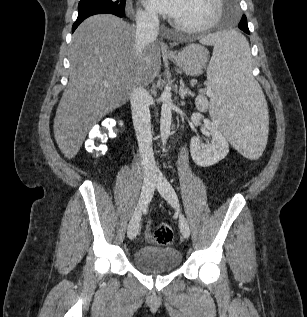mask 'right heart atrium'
Here are the masks:
<instances>
[{
  "instance_id": "obj_1",
  "label": "right heart atrium",
  "mask_w": 307,
  "mask_h": 317,
  "mask_svg": "<svg viewBox=\"0 0 307 317\" xmlns=\"http://www.w3.org/2000/svg\"><path fill=\"white\" fill-rule=\"evenodd\" d=\"M137 20L143 26H154L158 20L157 16L147 10H139L137 12Z\"/></svg>"
}]
</instances>
